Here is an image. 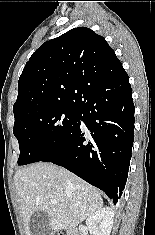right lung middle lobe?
Segmentation results:
<instances>
[{
  "label": "right lung middle lobe",
  "instance_id": "dd1d6c3e",
  "mask_svg": "<svg viewBox=\"0 0 155 235\" xmlns=\"http://www.w3.org/2000/svg\"><path fill=\"white\" fill-rule=\"evenodd\" d=\"M78 125L77 105L30 110L15 118L13 133L19 142L18 165L41 161L61 147Z\"/></svg>",
  "mask_w": 155,
  "mask_h": 235
}]
</instances>
